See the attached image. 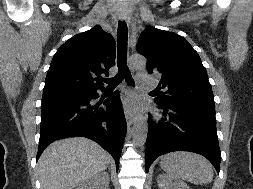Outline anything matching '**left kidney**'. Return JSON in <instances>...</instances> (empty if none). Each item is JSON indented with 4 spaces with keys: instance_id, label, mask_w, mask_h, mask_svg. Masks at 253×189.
I'll list each match as a JSON object with an SVG mask.
<instances>
[{
    "instance_id": "5707ae66",
    "label": "left kidney",
    "mask_w": 253,
    "mask_h": 189,
    "mask_svg": "<svg viewBox=\"0 0 253 189\" xmlns=\"http://www.w3.org/2000/svg\"><path fill=\"white\" fill-rule=\"evenodd\" d=\"M157 183L160 189H189L186 183L174 180L173 178L164 174L158 176Z\"/></svg>"
}]
</instances>
